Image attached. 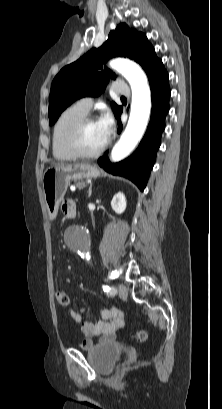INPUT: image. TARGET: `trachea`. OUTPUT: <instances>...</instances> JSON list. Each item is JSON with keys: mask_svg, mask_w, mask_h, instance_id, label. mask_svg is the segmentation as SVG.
Segmentation results:
<instances>
[{"mask_svg": "<svg viewBox=\"0 0 222 409\" xmlns=\"http://www.w3.org/2000/svg\"><path fill=\"white\" fill-rule=\"evenodd\" d=\"M121 99H126V98L124 96H122Z\"/></svg>", "mask_w": 222, "mask_h": 409, "instance_id": "trachea-1", "label": "trachea"}]
</instances>
